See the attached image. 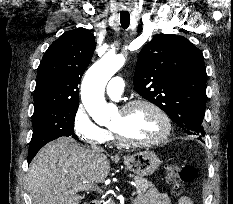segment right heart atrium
I'll use <instances>...</instances> for the list:
<instances>
[{"instance_id":"d8ad5b80","label":"right heart atrium","mask_w":233,"mask_h":204,"mask_svg":"<svg viewBox=\"0 0 233 204\" xmlns=\"http://www.w3.org/2000/svg\"><path fill=\"white\" fill-rule=\"evenodd\" d=\"M72 127L75 135L90 145L104 144L110 137V133L106 129L93 121L82 104L78 105L74 112Z\"/></svg>"}]
</instances>
